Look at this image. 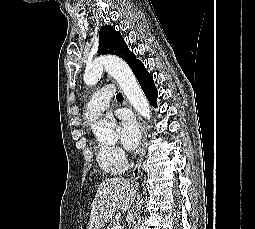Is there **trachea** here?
Here are the masks:
<instances>
[{
    "instance_id": "trachea-1",
    "label": "trachea",
    "mask_w": 255,
    "mask_h": 229,
    "mask_svg": "<svg viewBox=\"0 0 255 229\" xmlns=\"http://www.w3.org/2000/svg\"><path fill=\"white\" fill-rule=\"evenodd\" d=\"M122 98H123V96H122L121 93H118V94L116 95V99H122Z\"/></svg>"
}]
</instances>
